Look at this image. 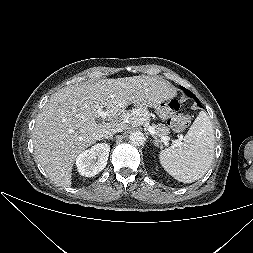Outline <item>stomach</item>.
<instances>
[{"label": "stomach", "instance_id": "0dacf381", "mask_svg": "<svg viewBox=\"0 0 253 253\" xmlns=\"http://www.w3.org/2000/svg\"><path fill=\"white\" fill-rule=\"evenodd\" d=\"M121 108L123 109V112L125 114H130L134 111L139 110L143 114H148L150 111H157V114L161 118H165V113L168 109V103L167 102H162L160 104H156L155 102H150L148 105H146L142 101H123L121 103ZM149 118V115H148ZM147 118V119H148Z\"/></svg>", "mask_w": 253, "mask_h": 253}]
</instances>
